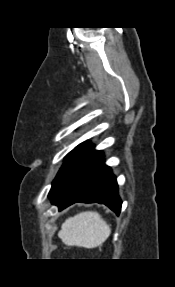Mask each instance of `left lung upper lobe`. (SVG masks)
Returning a JSON list of instances; mask_svg holds the SVG:
<instances>
[{"mask_svg":"<svg viewBox=\"0 0 175 287\" xmlns=\"http://www.w3.org/2000/svg\"><path fill=\"white\" fill-rule=\"evenodd\" d=\"M94 146L85 141L75 147L65 157V162L52 182L49 192L51 201L59 198L82 174H84L93 162L101 155Z\"/></svg>","mask_w":175,"mask_h":287,"instance_id":"left-lung-upper-lobe-1","label":"left lung upper lobe"}]
</instances>
